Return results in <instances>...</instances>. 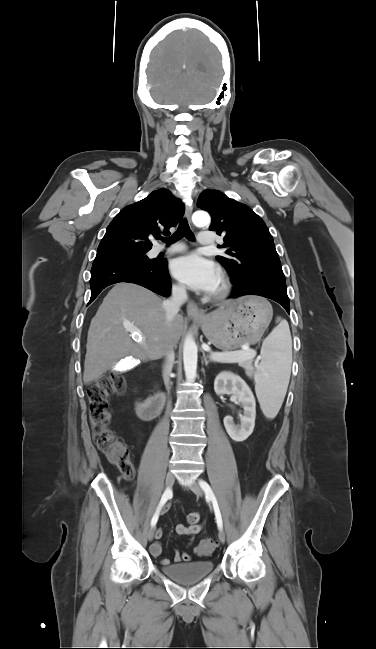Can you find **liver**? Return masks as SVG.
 <instances>
[{
    "label": "liver",
    "instance_id": "obj_1",
    "mask_svg": "<svg viewBox=\"0 0 376 649\" xmlns=\"http://www.w3.org/2000/svg\"><path fill=\"white\" fill-rule=\"evenodd\" d=\"M128 324L141 335L140 343H134ZM182 330V315L168 322L163 301L155 293L136 284L117 283L90 323L84 383L98 379L126 356L143 361L162 358L170 347L177 346Z\"/></svg>",
    "mask_w": 376,
    "mask_h": 649
}]
</instances>
